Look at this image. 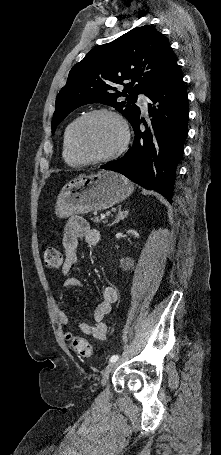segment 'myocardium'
<instances>
[{"label": "myocardium", "mask_w": 221, "mask_h": 455, "mask_svg": "<svg viewBox=\"0 0 221 455\" xmlns=\"http://www.w3.org/2000/svg\"><path fill=\"white\" fill-rule=\"evenodd\" d=\"M99 115H108L116 119L121 126L123 139L120 146L113 152L102 157L91 158L86 156L84 152L81 150L78 142V135L80 127L86 120ZM130 139L131 133L128 122L121 113L110 108H98L84 113L79 118H77L71 132V144L73 151L85 164L105 163L119 157L127 150L130 143Z\"/></svg>", "instance_id": "obj_1"}]
</instances>
